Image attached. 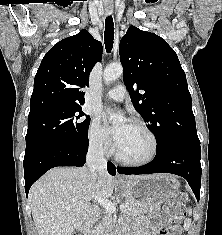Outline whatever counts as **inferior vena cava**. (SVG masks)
Instances as JSON below:
<instances>
[{
    "mask_svg": "<svg viewBox=\"0 0 222 235\" xmlns=\"http://www.w3.org/2000/svg\"><path fill=\"white\" fill-rule=\"evenodd\" d=\"M86 163L89 168L91 179L96 182L98 172L106 170L107 161L104 158V149L101 143H93L89 146Z\"/></svg>",
    "mask_w": 222,
    "mask_h": 235,
    "instance_id": "inferior-vena-cava-1",
    "label": "inferior vena cava"
}]
</instances>
